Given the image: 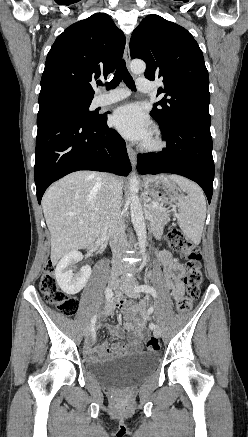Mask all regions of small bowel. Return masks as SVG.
<instances>
[{
	"mask_svg": "<svg viewBox=\"0 0 248 437\" xmlns=\"http://www.w3.org/2000/svg\"><path fill=\"white\" fill-rule=\"evenodd\" d=\"M159 258L163 263V273L165 277L166 287L172 292L174 300L183 296L184 286L182 283V276L184 274L183 266L172 260L169 252L161 251ZM125 301L119 300V305L123 306ZM113 311V305L108 304L106 308V314H110ZM140 311L144 314V305L141 306ZM127 327L132 331L131 340L128 343H115L109 346L107 342H103L99 345H95V336L91 335L85 342L84 352L89 360L100 361L108 359L112 356L125 353V352H138L142 348V338L144 336V324L143 322H137L136 324H128ZM113 337L123 338L124 332L119 326L108 327Z\"/></svg>",
	"mask_w": 248,
	"mask_h": 437,
	"instance_id": "obj_1",
	"label": "small bowel"
}]
</instances>
